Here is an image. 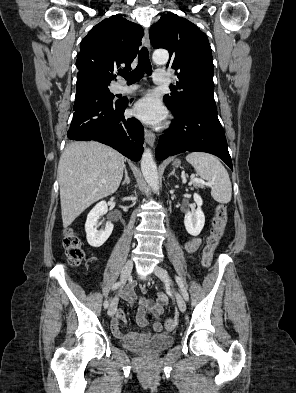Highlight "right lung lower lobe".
Wrapping results in <instances>:
<instances>
[{
  "label": "right lung lower lobe",
  "instance_id": "98d812e1",
  "mask_svg": "<svg viewBox=\"0 0 296 393\" xmlns=\"http://www.w3.org/2000/svg\"><path fill=\"white\" fill-rule=\"evenodd\" d=\"M76 87L74 115L68 138L99 141L133 161L140 160L144 130L135 118L124 117L128 99L113 101L87 75H77Z\"/></svg>",
  "mask_w": 296,
  "mask_h": 393
}]
</instances>
